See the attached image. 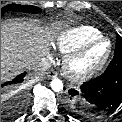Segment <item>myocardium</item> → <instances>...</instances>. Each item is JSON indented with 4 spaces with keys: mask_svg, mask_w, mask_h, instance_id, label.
<instances>
[{
    "mask_svg": "<svg viewBox=\"0 0 122 122\" xmlns=\"http://www.w3.org/2000/svg\"><path fill=\"white\" fill-rule=\"evenodd\" d=\"M100 43L107 44V50L105 54L102 56V58L95 64H93L92 66L83 71L75 70L74 69L75 62L78 61L80 58H82L90 49H92L94 46ZM111 53H112V43L108 38L102 36L100 38L89 41L65 56L63 61L64 72L70 80L74 82H84L92 78L106 65L111 56Z\"/></svg>",
    "mask_w": 122,
    "mask_h": 122,
    "instance_id": "f54148a6",
    "label": "myocardium"
}]
</instances>
